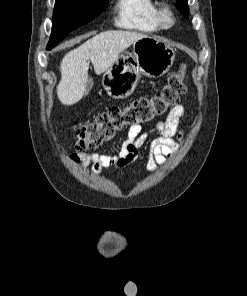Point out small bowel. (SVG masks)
I'll return each mask as SVG.
<instances>
[{
  "instance_id": "obj_1",
  "label": "small bowel",
  "mask_w": 247,
  "mask_h": 296,
  "mask_svg": "<svg viewBox=\"0 0 247 296\" xmlns=\"http://www.w3.org/2000/svg\"><path fill=\"white\" fill-rule=\"evenodd\" d=\"M186 108L179 104L173 107L165 121H159L147 130L133 125L123 142L120 151L115 155L103 153H88L81 156L82 167H90L92 173L98 176L103 168L120 170L137 160L139 151L153 133H158L148 147L146 166L150 172H155L159 166L165 165L179 150L183 140V131H177L180 119L185 115Z\"/></svg>"
}]
</instances>
